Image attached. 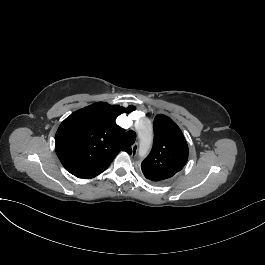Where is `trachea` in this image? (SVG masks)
<instances>
[{
    "mask_svg": "<svg viewBox=\"0 0 265 265\" xmlns=\"http://www.w3.org/2000/svg\"><path fill=\"white\" fill-rule=\"evenodd\" d=\"M135 140H136V133L134 131H128L126 132L125 134V141L132 145L135 143Z\"/></svg>",
    "mask_w": 265,
    "mask_h": 265,
    "instance_id": "obj_1",
    "label": "trachea"
}]
</instances>
